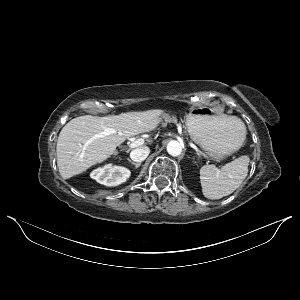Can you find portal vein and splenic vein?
I'll use <instances>...</instances> for the list:
<instances>
[{"label": "portal vein and splenic vein", "mask_w": 300, "mask_h": 300, "mask_svg": "<svg viewBox=\"0 0 300 300\" xmlns=\"http://www.w3.org/2000/svg\"><path fill=\"white\" fill-rule=\"evenodd\" d=\"M144 144V139L143 138H138L130 143H128L129 148H136L138 146H141Z\"/></svg>", "instance_id": "portal-vein-and-splenic-vein-1"}]
</instances>
